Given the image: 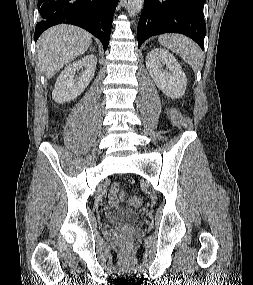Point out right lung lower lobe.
Wrapping results in <instances>:
<instances>
[{
	"label": "right lung lower lobe",
	"mask_w": 253,
	"mask_h": 285,
	"mask_svg": "<svg viewBox=\"0 0 253 285\" xmlns=\"http://www.w3.org/2000/svg\"><path fill=\"white\" fill-rule=\"evenodd\" d=\"M117 3L118 0H38L40 19L35 27V41L47 28L67 23L96 36L105 51Z\"/></svg>",
	"instance_id": "obj_1"
}]
</instances>
